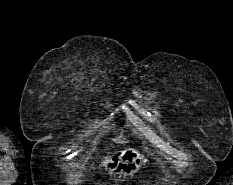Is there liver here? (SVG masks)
<instances>
[{"instance_id": "obj_1", "label": "liver", "mask_w": 233, "mask_h": 185, "mask_svg": "<svg viewBox=\"0 0 233 185\" xmlns=\"http://www.w3.org/2000/svg\"><path fill=\"white\" fill-rule=\"evenodd\" d=\"M108 160H109V158H105V160H104V162H103V166H106Z\"/></svg>"}]
</instances>
